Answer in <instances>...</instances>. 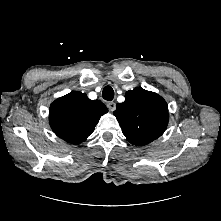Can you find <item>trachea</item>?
<instances>
[{
    "label": "trachea",
    "mask_w": 221,
    "mask_h": 221,
    "mask_svg": "<svg viewBox=\"0 0 221 221\" xmlns=\"http://www.w3.org/2000/svg\"><path fill=\"white\" fill-rule=\"evenodd\" d=\"M102 97L107 100L111 101L114 98V90L111 86H105L102 92Z\"/></svg>",
    "instance_id": "obj_1"
}]
</instances>
